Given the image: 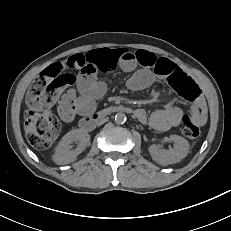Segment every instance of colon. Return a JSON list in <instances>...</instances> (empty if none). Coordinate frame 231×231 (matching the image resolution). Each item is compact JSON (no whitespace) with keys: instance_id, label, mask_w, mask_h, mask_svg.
Masks as SVG:
<instances>
[{"instance_id":"5ec220e1","label":"colon","mask_w":231,"mask_h":231,"mask_svg":"<svg viewBox=\"0 0 231 231\" xmlns=\"http://www.w3.org/2000/svg\"><path fill=\"white\" fill-rule=\"evenodd\" d=\"M167 82L180 96L190 101H195L201 95L198 85L184 73L171 75ZM74 83L75 76L58 62L41 72L29 87L24 128L26 137L33 147L45 149L58 137L60 121L48 109L62 95L69 93ZM182 133L189 139H196L200 135V128L184 117Z\"/></svg>"}]
</instances>
